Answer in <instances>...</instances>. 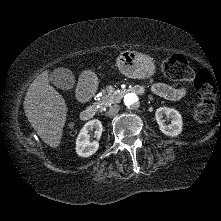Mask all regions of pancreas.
I'll list each match as a JSON object with an SVG mask.
<instances>
[{
    "label": "pancreas",
    "mask_w": 221,
    "mask_h": 221,
    "mask_svg": "<svg viewBox=\"0 0 221 221\" xmlns=\"http://www.w3.org/2000/svg\"><path fill=\"white\" fill-rule=\"evenodd\" d=\"M112 92L113 91L110 89V87H106L104 90H102L103 96L99 98L97 102L101 110L118 100V98H116Z\"/></svg>",
    "instance_id": "1"
}]
</instances>
